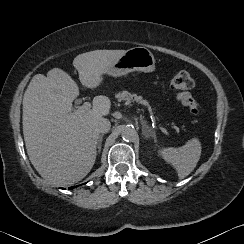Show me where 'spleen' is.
<instances>
[{"label": "spleen", "mask_w": 244, "mask_h": 244, "mask_svg": "<svg viewBox=\"0 0 244 244\" xmlns=\"http://www.w3.org/2000/svg\"><path fill=\"white\" fill-rule=\"evenodd\" d=\"M158 154L176 170L180 179L188 176L196 167L201 156V142L198 137L188 140L185 145L158 150Z\"/></svg>", "instance_id": "1"}]
</instances>
